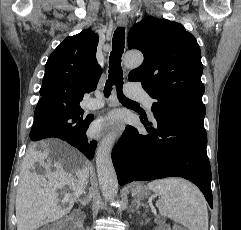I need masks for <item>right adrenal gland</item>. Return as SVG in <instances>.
Listing matches in <instances>:
<instances>
[{
    "label": "right adrenal gland",
    "mask_w": 241,
    "mask_h": 230,
    "mask_svg": "<svg viewBox=\"0 0 241 230\" xmlns=\"http://www.w3.org/2000/svg\"><path fill=\"white\" fill-rule=\"evenodd\" d=\"M90 200H91V192H89V197H88L87 200H81V199H79L78 201H79V203H80L82 206H86V205L90 202Z\"/></svg>",
    "instance_id": "right-adrenal-gland-1"
}]
</instances>
